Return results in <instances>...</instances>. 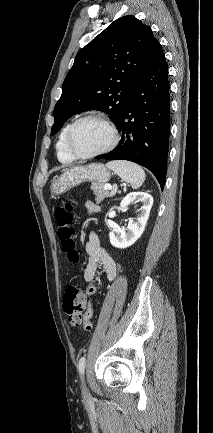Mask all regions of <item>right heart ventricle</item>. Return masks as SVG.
Returning a JSON list of instances; mask_svg holds the SVG:
<instances>
[{
    "mask_svg": "<svg viewBox=\"0 0 213 433\" xmlns=\"http://www.w3.org/2000/svg\"><path fill=\"white\" fill-rule=\"evenodd\" d=\"M71 124L72 123H68L63 127L56 143L57 158L60 162L63 163H70L76 159L69 153L66 145V136Z\"/></svg>",
    "mask_w": 213,
    "mask_h": 433,
    "instance_id": "obj_1",
    "label": "right heart ventricle"
}]
</instances>
